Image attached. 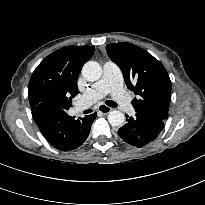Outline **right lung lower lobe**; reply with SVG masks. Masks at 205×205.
I'll return each instance as SVG.
<instances>
[{
  "mask_svg": "<svg viewBox=\"0 0 205 205\" xmlns=\"http://www.w3.org/2000/svg\"><path fill=\"white\" fill-rule=\"evenodd\" d=\"M55 101H45L32 109V116L46 140L56 149L70 151L87 139L96 113L76 120Z\"/></svg>",
  "mask_w": 205,
  "mask_h": 205,
  "instance_id": "98d812e1",
  "label": "right lung lower lobe"
}]
</instances>
